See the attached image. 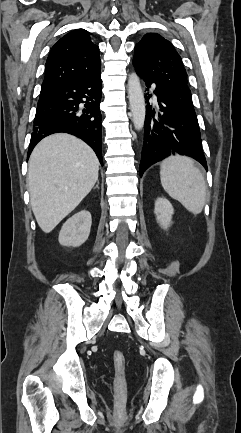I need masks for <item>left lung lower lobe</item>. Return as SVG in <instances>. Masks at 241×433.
Here are the masks:
<instances>
[{"mask_svg":"<svg viewBox=\"0 0 241 433\" xmlns=\"http://www.w3.org/2000/svg\"><path fill=\"white\" fill-rule=\"evenodd\" d=\"M139 75V74H138ZM147 89L154 83L139 75ZM147 96L144 122V142L139 166L140 176L152 164L171 155H186L196 159L205 169L198 122L192 119L163 89L156 85L154 95L158 106L153 107ZM146 98V96H145Z\"/></svg>","mask_w":241,"mask_h":433,"instance_id":"1","label":"left lung lower lobe"}]
</instances>
